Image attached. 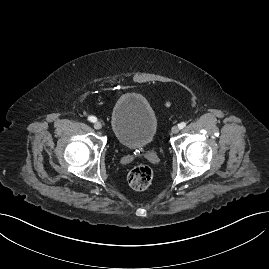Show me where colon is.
<instances>
[{
    "label": "colon",
    "instance_id": "colon-1",
    "mask_svg": "<svg viewBox=\"0 0 269 269\" xmlns=\"http://www.w3.org/2000/svg\"><path fill=\"white\" fill-rule=\"evenodd\" d=\"M166 106H170V102H166ZM153 179V171L146 164H139L133 167L128 174V182L135 190H145L148 188Z\"/></svg>",
    "mask_w": 269,
    "mask_h": 269
}]
</instances>
